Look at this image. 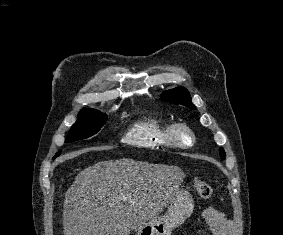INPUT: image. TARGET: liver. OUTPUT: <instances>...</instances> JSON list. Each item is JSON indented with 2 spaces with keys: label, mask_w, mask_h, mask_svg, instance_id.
Returning a JSON list of instances; mask_svg holds the SVG:
<instances>
[{
  "label": "liver",
  "mask_w": 283,
  "mask_h": 235,
  "mask_svg": "<svg viewBox=\"0 0 283 235\" xmlns=\"http://www.w3.org/2000/svg\"><path fill=\"white\" fill-rule=\"evenodd\" d=\"M184 172L132 159L82 170L65 194L64 235H130L167 206Z\"/></svg>",
  "instance_id": "1"
}]
</instances>
